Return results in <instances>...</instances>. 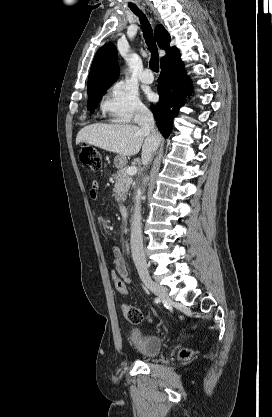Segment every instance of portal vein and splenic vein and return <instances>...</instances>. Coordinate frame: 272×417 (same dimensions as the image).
I'll return each instance as SVG.
<instances>
[{"instance_id": "1", "label": "portal vein and splenic vein", "mask_w": 272, "mask_h": 417, "mask_svg": "<svg viewBox=\"0 0 272 417\" xmlns=\"http://www.w3.org/2000/svg\"><path fill=\"white\" fill-rule=\"evenodd\" d=\"M136 173H137V167H136V166H131V167H128V169H127V174H128V175L133 176V175H135Z\"/></svg>"}]
</instances>
